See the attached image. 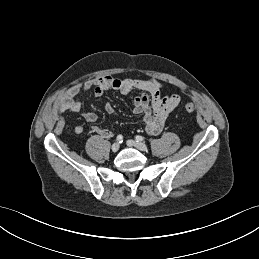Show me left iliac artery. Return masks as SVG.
Segmentation results:
<instances>
[{
  "mask_svg": "<svg viewBox=\"0 0 259 259\" xmlns=\"http://www.w3.org/2000/svg\"><path fill=\"white\" fill-rule=\"evenodd\" d=\"M135 138H136L137 142L144 140V137H142V136H140V135H137Z\"/></svg>",
  "mask_w": 259,
  "mask_h": 259,
  "instance_id": "left-iliac-artery-1",
  "label": "left iliac artery"
}]
</instances>
